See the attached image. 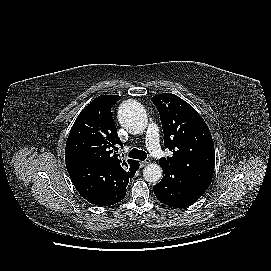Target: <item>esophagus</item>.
Here are the masks:
<instances>
[{
	"mask_svg": "<svg viewBox=\"0 0 271 271\" xmlns=\"http://www.w3.org/2000/svg\"><path fill=\"white\" fill-rule=\"evenodd\" d=\"M149 163H150V160L141 161V162H140V167L143 168V167H145L146 165H148Z\"/></svg>",
	"mask_w": 271,
	"mask_h": 271,
	"instance_id": "1",
	"label": "esophagus"
}]
</instances>
